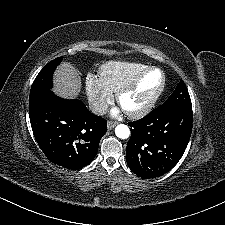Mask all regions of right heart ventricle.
Returning a JSON list of instances; mask_svg holds the SVG:
<instances>
[{
    "label": "right heart ventricle",
    "mask_w": 225,
    "mask_h": 225,
    "mask_svg": "<svg viewBox=\"0 0 225 225\" xmlns=\"http://www.w3.org/2000/svg\"><path fill=\"white\" fill-rule=\"evenodd\" d=\"M146 67L139 62L108 61L100 66V78L111 92L118 93L132 82Z\"/></svg>",
    "instance_id": "obj_1"
}]
</instances>
